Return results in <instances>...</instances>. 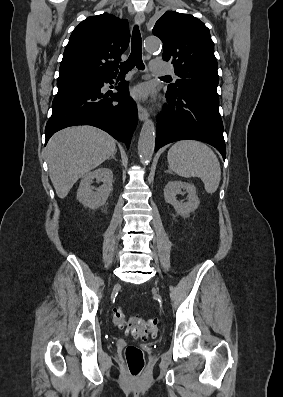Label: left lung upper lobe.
I'll use <instances>...</instances> for the list:
<instances>
[{"label":"left lung upper lobe","instance_id":"1","mask_svg":"<svg viewBox=\"0 0 283 397\" xmlns=\"http://www.w3.org/2000/svg\"><path fill=\"white\" fill-rule=\"evenodd\" d=\"M153 34L164 44L163 60L180 77L171 91H194L219 99V76L214 43L205 24L193 17L167 11L155 24Z\"/></svg>","mask_w":283,"mask_h":397}]
</instances>
